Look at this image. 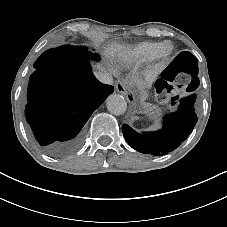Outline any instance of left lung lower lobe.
<instances>
[{
  "label": "left lung lower lobe",
  "mask_w": 227,
  "mask_h": 227,
  "mask_svg": "<svg viewBox=\"0 0 227 227\" xmlns=\"http://www.w3.org/2000/svg\"><path fill=\"white\" fill-rule=\"evenodd\" d=\"M194 80L193 76L190 86L193 85ZM195 88L196 86L192 89ZM195 99V95L182 99L179 110L166 116L163 128L157 132L138 133L127 124H123L122 132L126 141L133 149L155 156L165 155L175 150L192 132L197 122L193 108Z\"/></svg>",
  "instance_id": "0a47b994"
}]
</instances>
